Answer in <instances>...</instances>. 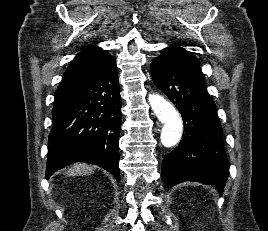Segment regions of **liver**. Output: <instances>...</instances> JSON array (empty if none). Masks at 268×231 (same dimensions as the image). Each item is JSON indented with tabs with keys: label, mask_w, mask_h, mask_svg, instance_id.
I'll return each mask as SVG.
<instances>
[{
	"label": "liver",
	"mask_w": 268,
	"mask_h": 231,
	"mask_svg": "<svg viewBox=\"0 0 268 231\" xmlns=\"http://www.w3.org/2000/svg\"><path fill=\"white\" fill-rule=\"evenodd\" d=\"M95 166H91L85 163H76L67 170L69 176H83L92 174Z\"/></svg>",
	"instance_id": "liver-1"
}]
</instances>
